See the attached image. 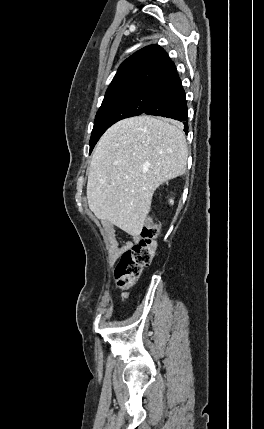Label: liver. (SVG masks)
<instances>
[{"instance_id":"1","label":"liver","mask_w":264,"mask_h":429,"mask_svg":"<svg viewBox=\"0 0 264 429\" xmlns=\"http://www.w3.org/2000/svg\"><path fill=\"white\" fill-rule=\"evenodd\" d=\"M187 157L186 138L175 121L141 115L115 123L92 156L87 182L90 210L139 236L154 191L185 173Z\"/></svg>"}]
</instances>
